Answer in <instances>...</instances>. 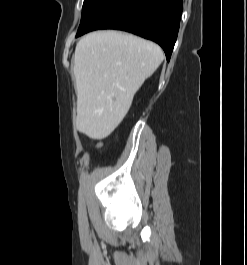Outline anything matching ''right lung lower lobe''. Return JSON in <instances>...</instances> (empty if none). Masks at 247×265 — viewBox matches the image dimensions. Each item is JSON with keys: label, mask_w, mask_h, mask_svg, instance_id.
<instances>
[{"label": "right lung lower lobe", "mask_w": 247, "mask_h": 265, "mask_svg": "<svg viewBox=\"0 0 247 265\" xmlns=\"http://www.w3.org/2000/svg\"><path fill=\"white\" fill-rule=\"evenodd\" d=\"M182 9V0H99L76 37L97 29L124 30L158 43L169 61Z\"/></svg>", "instance_id": "obj_1"}]
</instances>
